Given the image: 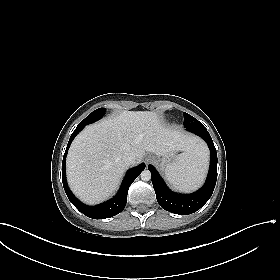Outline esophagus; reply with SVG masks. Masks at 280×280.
Listing matches in <instances>:
<instances>
[{
	"instance_id": "obj_1",
	"label": "esophagus",
	"mask_w": 280,
	"mask_h": 280,
	"mask_svg": "<svg viewBox=\"0 0 280 280\" xmlns=\"http://www.w3.org/2000/svg\"><path fill=\"white\" fill-rule=\"evenodd\" d=\"M150 160H151V157H147V158H146V161H147V162H150Z\"/></svg>"
}]
</instances>
